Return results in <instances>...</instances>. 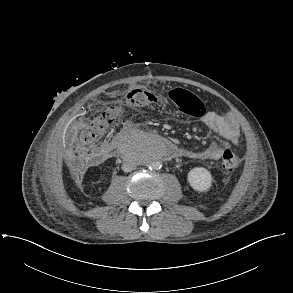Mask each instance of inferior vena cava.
<instances>
[{"label": "inferior vena cava", "mask_w": 293, "mask_h": 293, "mask_svg": "<svg viewBox=\"0 0 293 293\" xmlns=\"http://www.w3.org/2000/svg\"><path fill=\"white\" fill-rule=\"evenodd\" d=\"M135 167H136V166H135L134 163H131V162L126 161V162H124L123 165H122V170H123L124 172H131L132 170L135 169Z\"/></svg>", "instance_id": "1"}]
</instances>
